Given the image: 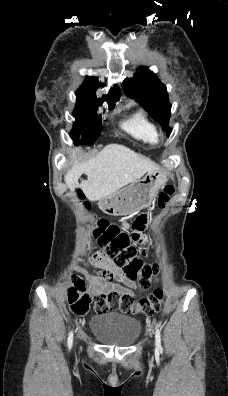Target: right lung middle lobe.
<instances>
[{"label": "right lung middle lobe", "mask_w": 228, "mask_h": 396, "mask_svg": "<svg viewBox=\"0 0 228 396\" xmlns=\"http://www.w3.org/2000/svg\"><path fill=\"white\" fill-rule=\"evenodd\" d=\"M76 96L77 103L73 112L76 121L70 136L77 144L79 140L81 144H94L101 132V117L97 115V109L102 100L79 93Z\"/></svg>", "instance_id": "obj_1"}]
</instances>
